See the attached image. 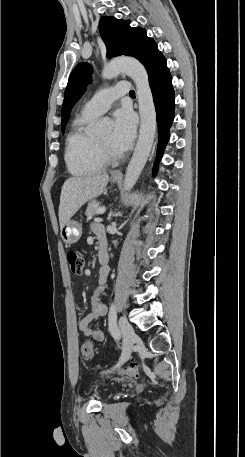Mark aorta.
Segmentation results:
<instances>
[{"label": "aorta", "mask_w": 245, "mask_h": 457, "mask_svg": "<svg viewBox=\"0 0 245 457\" xmlns=\"http://www.w3.org/2000/svg\"><path fill=\"white\" fill-rule=\"evenodd\" d=\"M121 72L131 77L135 83L141 118L139 138L124 180V190L129 191L137 182L149 157L156 136V110L148 74L144 66L134 58H119L104 67L102 76L105 79H112ZM109 125L108 119H102L98 121L95 129L101 132L106 130Z\"/></svg>", "instance_id": "aorta-1"}]
</instances>
